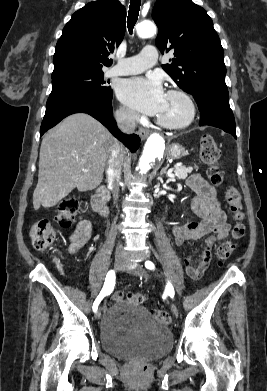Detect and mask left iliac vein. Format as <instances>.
Listing matches in <instances>:
<instances>
[{
	"mask_svg": "<svg viewBox=\"0 0 267 391\" xmlns=\"http://www.w3.org/2000/svg\"><path fill=\"white\" fill-rule=\"evenodd\" d=\"M125 266L129 269V271L132 274H134L136 276H143L145 279L149 278V275H148L147 271L145 269H143L140 265H136L134 268H130L132 266V263L129 260H127ZM171 308H172V311H173L174 315L176 317H178L179 311H178L177 306L173 303L171 305Z\"/></svg>",
	"mask_w": 267,
	"mask_h": 391,
	"instance_id": "left-iliac-vein-1",
	"label": "left iliac vein"
}]
</instances>
